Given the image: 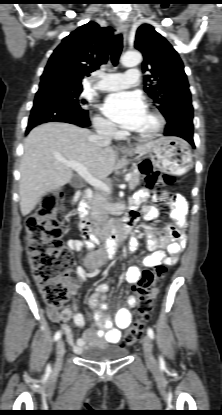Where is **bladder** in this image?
Segmentation results:
<instances>
[{"label":"bladder","mask_w":222,"mask_h":415,"mask_svg":"<svg viewBox=\"0 0 222 415\" xmlns=\"http://www.w3.org/2000/svg\"><path fill=\"white\" fill-rule=\"evenodd\" d=\"M129 353L128 349L116 345H106L101 347H91L83 350L80 355L88 361H107L117 360L125 357Z\"/></svg>","instance_id":"obj_1"}]
</instances>
